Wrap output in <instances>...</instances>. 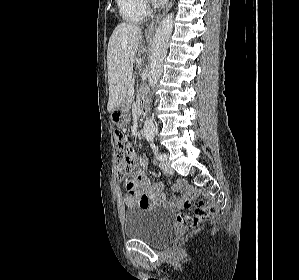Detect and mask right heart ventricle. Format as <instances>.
I'll use <instances>...</instances> for the list:
<instances>
[{"instance_id": "right-heart-ventricle-1", "label": "right heart ventricle", "mask_w": 299, "mask_h": 280, "mask_svg": "<svg viewBox=\"0 0 299 280\" xmlns=\"http://www.w3.org/2000/svg\"><path fill=\"white\" fill-rule=\"evenodd\" d=\"M119 14L123 20L131 23H140L148 15L144 0H116Z\"/></svg>"}]
</instances>
